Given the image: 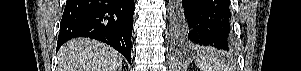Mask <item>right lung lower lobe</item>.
<instances>
[{"instance_id":"right-lung-lower-lobe-1","label":"right lung lower lobe","mask_w":301,"mask_h":71,"mask_svg":"<svg viewBox=\"0 0 301 71\" xmlns=\"http://www.w3.org/2000/svg\"><path fill=\"white\" fill-rule=\"evenodd\" d=\"M134 0H67L57 49L76 37H89L114 47L131 63Z\"/></svg>"}]
</instances>
